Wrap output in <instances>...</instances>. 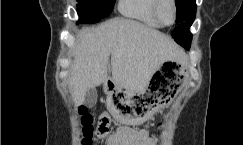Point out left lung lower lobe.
Returning a JSON list of instances; mask_svg holds the SVG:
<instances>
[{"label":"left lung lower lobe","mask_w":243,"mask_h":145,"mask_svg":"<svg viewBox=\"0 0 243 145\" xmlns=\"http://www.w3.org/2000/svg\"><path fill=\"white\" fill-rule=\"evenodd\" d=\"M191 40H192V35H191V33H189V36L186 39L180 40V41H178V43L181 46H183L185 49H189Z\"/></svg>","instance_id":"0a47b994"}]
</instances>
